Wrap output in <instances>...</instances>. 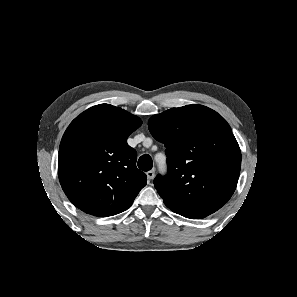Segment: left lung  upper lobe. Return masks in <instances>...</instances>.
Instances as JSON below:
<instances>
[{
	"mask_svg": "<svg viewBox=\"0 0 297 297\" xmlns=\"http://www.w3.org/2000/svg\"><path fill=\"white\" fill-rule=\"evenodd\" d=\"M148 125L167 148L168 174L154 179L165 205L200 219L226 204L241 168V151L227 121L206 106L187 105L152 116Z\"/></svg>",
	"mask_w": 297,
	"mask_h": 297,
	"instance_id": "left-lung-upper-lobe-1",
	"label": "left lung upper lobe"
}]
</instances>
